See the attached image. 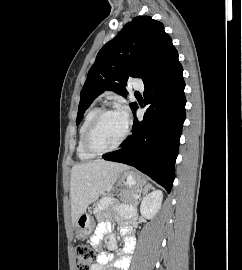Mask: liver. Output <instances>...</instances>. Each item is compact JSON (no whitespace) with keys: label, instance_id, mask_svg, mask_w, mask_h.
<instances>
[{"label":"liver","instance_id":"liver-1","mask_svg":"<svg viewBox=\"0 0 242 270\" xmlns=\"http://www.w3.org/2000/svg\"><path fill=\"white\" fill-rule=\"evenodd\" d=\"M124 164L94 160L77 164L71 170V218L73 226L87 207L109 192L120 173L128 170Z\"/></svg>","mask_w":242,"mask_h":270}]
</instances>
